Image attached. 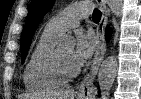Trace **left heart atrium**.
Segmentation results:
<instances>
[{
  "mask_svg": "<svg viewBox=\"0 0 141 99\" xmlns=\"http://www.w3.org/2000/svg\"><path fill=\"white\" fill-rule=\"evenodd\" d=\"M94 48L95 39L92 35H78L71 55L73 66L75 68L81 67L91 57Z\"/></svg>",
  "mask_w": 141,
  "mask_h": 99,
  "instance_id": "1",
  "label": "left heart atrium"
}]
</instances>
